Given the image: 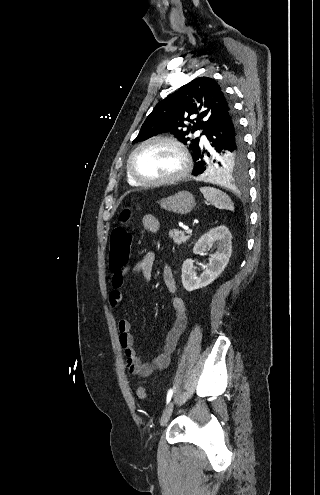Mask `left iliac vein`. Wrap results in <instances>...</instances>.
Segmentation results:
<instances>
[{
  "label": "left iliac vein",
  "instance_id": "left-iliac-vein-1",
  "mask_svg": "<svg viewBox=\"0 0 320 495\" xmlns=\"http://www.w3.org/2000/svg\"><path fill=\"white\" fill-rule=\"evenodd\" d=\"M173 409H174V401L170 402L169 405L163 411V414L160 419L161 426H165L167 424V422L169 421L172 415Z\"/></svg>",
  "mask_w": 320,
  "mask_h": 495
}]
</instances>
